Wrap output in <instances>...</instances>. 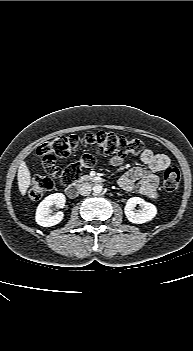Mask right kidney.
<instances>
[{
  "label": "right kidney",
  "mask_w": 193,
  "mask_h": 351,
  "mask_svg": "<svg viewBox=\"0 0 193 351\" xmlns=\"http://www.w3.org/2000/svg\"><path fill=\"white\" fill-rule=\"evenodd\" d=\"M66 197L62 193H54L47 196L37 207L35 220L38 225L51 227L60 223L63 219V212L59 211L55 215H50L51 207L56 205L58 208L65 206Z\"/></svg>",
  "instance_id": "right-kidney-1"
}]
</instances>
